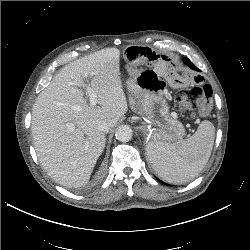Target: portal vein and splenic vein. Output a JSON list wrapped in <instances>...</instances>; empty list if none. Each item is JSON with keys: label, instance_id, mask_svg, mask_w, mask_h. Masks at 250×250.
<instances>
[{"label": "portal vein and splenic vein", "instance_id": "portal-vein-and-splenic-vein-1", "mask_svg": "<svg viewBox=\"0 0 250 250\" xmlns=\"http://www.w3.org/2000/svg\"><path fill=\"white\" fill-rule=\"evenodd\" d=\"M86 94L89 98L90 105L95 106L97 104V95L89 86H86Z\"/></svg>", "mask_w": 250, "mask_h": 250}]
</instances>
